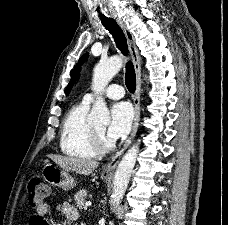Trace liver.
<instances>
[{
	"label": "liver",
	"mask_w": 228,
	"mask_h": 225,
	"mask_svg": "<svg viewBox=\"0 0 228 225\" xmlns=\"http://www.w3.org/2000/svg\"><path fill=\"white\" fill-rule=\"evenodd\" d=\"M58 167L66 171H75L77 175H90L97 169V161H85V159H73V157H61V155H47Z\"/></svg>",
	"instance_id": "1"
}]
</instances>
